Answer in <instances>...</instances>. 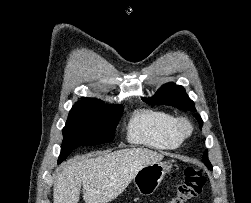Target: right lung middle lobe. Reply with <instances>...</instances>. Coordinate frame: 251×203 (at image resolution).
<instances>
[{
	"instance_id": "dd1d6c3e",
	"label": "right lung middle lobe",
	"mask_w": 251,
	"mask_h": 203,
	"mask_svg": "<svg viewBox=\"0 0 251 203\" xmlns=\"http://www.w3.org/2000/svg\"><path fill=\"white\" fill-rule=\"evenodd\" d=\"M123 112L122 105H74L63 128L58 164L79 146L109 143Z\"/></svg>"
}]
</instances>
